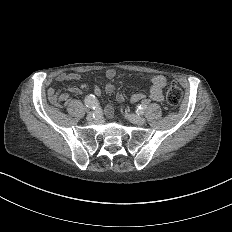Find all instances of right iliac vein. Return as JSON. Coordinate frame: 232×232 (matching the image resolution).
I'll return each instance as SVG.
<instances>
[{"mask_svg":"<svg viewBox=\"0 0 232 232\" xmlns=\"http://www.w3.org/2000/svg\"><path fill=\"white\" fill-rule=\"evenodd\" d=\"M91 119H92V115H91V114H88V115H87V122H90Z\"/></svg>","mask_w":232,"mask_h":232,"instance_id":"obj_1","label":"right iliac vein"}]
</instances>
